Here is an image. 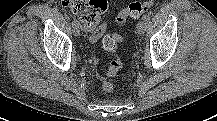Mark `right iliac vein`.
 <instances>
[{
    "instance_id": "63e3f726",
    "label": "right iliac vein",
    "mask_w": 217,
    "mask_h": 121,
    "mask_svg": "<svg viewBox=\"0 0 217 121\" xmlns=\"http://www.w3.org/2000/svg\"><path fill=\"white\" fill-rule=\"evenodd\" d=\"M73 33H74L75 36L80 35L79 25L73 26Z\"/></svg>"
}]
</instances>
